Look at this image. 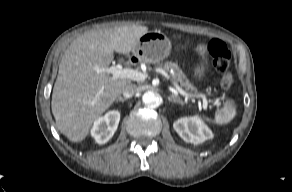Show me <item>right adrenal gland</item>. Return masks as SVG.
Listing matches in <instances>:
<instances>
[{
    "label": "right adrenal gland",
    "mask_w": 292,
    "mask_h": 192,
    "mask_svg": "<svg viewBox=\"0 0 292 192\" xmlns=\"http://www.w3.org/2000/svg\"><path fill=\"white\" fill-rule=\"evenodd\" d=\"M125 101H126V99L122 98L120 96L115 100V102H125Z\"/></svg>",
    "instance_id": "obj_1"
}]
</instances>
